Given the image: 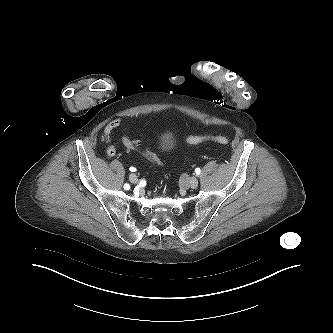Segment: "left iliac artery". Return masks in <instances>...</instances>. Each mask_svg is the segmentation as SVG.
<instances>
[{
	"label": "left iliac artery",
	"instance_id": "obj_1",
	"mask_svg": "<svg viewBox=\"0 0 333 333\" xmlns=\"http://www.w3.org/2000/svg\"><path fill=\"white\" fill-rule=\"evenodd\" d=\"M200 172H201L200 168H196V169H195V174H196V176H199V175H200Z\"/></svg>",
	"mask_w": 333,
	"mask_h": 333
}]
</instances>
